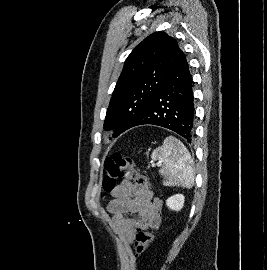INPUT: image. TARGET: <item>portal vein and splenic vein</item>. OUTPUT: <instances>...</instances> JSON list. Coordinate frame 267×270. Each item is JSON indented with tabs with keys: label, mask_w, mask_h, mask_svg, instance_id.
I'll return each instance as SVG.
<instances>
[{
	"label": "portal vein and splenic vein",
	"mask_w": 267,
	"mask_h": 270,
	"mask_svg": "<svg viewBox=\"0 0 267 270\" xmlns=\"http://www.w3.org/2000/svg\"><path fill=\"white\" fill-rule=\"evenodd\" d=\"M160 164H161L160 162L157 163V165H160Z\"/></svg>",
	"instance_id": "18ae733b"
}]
</instances>
